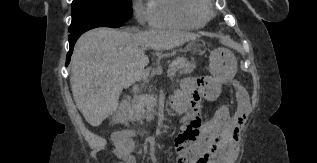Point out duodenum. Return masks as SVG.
<instances>
[{
  "instance_id": "duodenum-1",
  "label": "duodenum",
  "mask_w": 317,
  "mask_h": 163,
  "mask_svg": "<svg viewBox=\"0 0 317 163\" xmlns=\"http://www.w3.org/2000/svg\"><path fill=\"white\" fill-rule=\"evenodd\" d=\"M129 104L127 100H123L118 110L113 115V121L115 124H123L128 119ZM119 137H117L118 140Z\"/></svg>"
}]
</instances>
